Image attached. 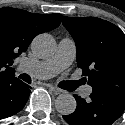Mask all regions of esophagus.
I'll use <instances>...</instances> for the list:
<instances>
[{
  "label": "esophagus",
  "mask_w": 125,
  "mask_h": 125,
  "mask_svg": "<svg viewBox=\"0 0 125 125\" xmlns=\"http://www.w3.org/2000/svg\"><path fill=\"white\" fill-rule=\"evenodd\" d=\"M49 89L55 95H58V94H60L62 92L61 89H59V88H57L55 86H49Z\"/></svg>",
  "instance_id": "1"
}]
</instances>
